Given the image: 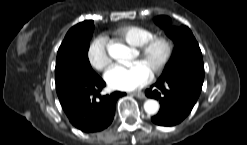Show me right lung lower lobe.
I'll list each match as a JSON object with an SVG mask.
<instances>
[{"mask_svg": "<svg viewBox=\"0 0 247 145\" xmlns=\"http://www.w3.org/2000/svg\"><path fill=\"white\" fill-rule=\"evenodd\" d=\"M104 86L105 82L98 75L76 77L56 85L62 108L73 126L89 133L101 131L111 124L116 101L125 93L100 96Z\"/></svg>", "mask_w": 247, "mask_h": 145, "instance_id": "98d812e1", "label": "right lung lower lobe"}]
</instances>
